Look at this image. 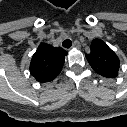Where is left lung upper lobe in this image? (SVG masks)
Masks as SVG:
<instances>
[{
    "mask_svg": "<svg viewBox=\"0 0 127 127\" xmlns=\"http://www.w3.org/2000/svg\"><path fill=\"white\" fill-rule=\"evenodd\" d=\"M95 72L105 77H115L119 69V59L116 54L100 39L91 43V53L86 55Z\"/></svg>",
    "mask_w": 127,
    "mask_h": 127,
    "instance_id": "1",
    "label": "left lung upper lobe"
}]
</instances>
